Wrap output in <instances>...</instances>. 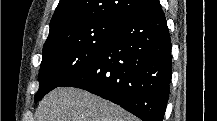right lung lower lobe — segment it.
<instances>
[{
  "label": "right lung lower lobe",
  "instance_id": "right-lung-lower-lobe-1",
  "mask_svg": "<svg viewBox=\"0 0 217 121\" xmlns=\"http://www.w3.org/2000/svg\"><path fill=\"white\" fill-rule=\"evenodd\" d=\"M171 64L166 18L153 0L121 25L95 61L59 86L87 90L143 121H162Z\"/></svg>",
  "mask_w": 217,
  "mask_h": 121
}]
</instances>
